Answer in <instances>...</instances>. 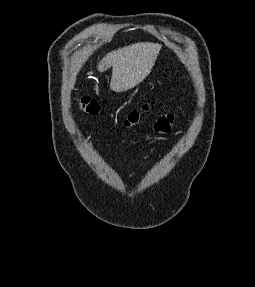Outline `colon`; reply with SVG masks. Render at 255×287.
I'll use <instances>...</instances> for the list:
<instances>
[{
	"instance_id": "colon-1",
	"label": "colon",
	"mask_w": 255,
	"mask_h": 287,
	"mask_svg": "<svg viewBox=\"0 0 255 287\" xmlns=\"http://www.w3.org/2000/svg\"><path fill=\"white\" fill-rule=\"evenodd\" d=\"M153 103L144 104L140 109L131 111L125 119V125L128 127L135 126L143 113L147 112ZM78 106L82 112L90 116H96L100 111L98 102L91 97L82 96L78 100Z\"/></svg>"
}]
</instances>
